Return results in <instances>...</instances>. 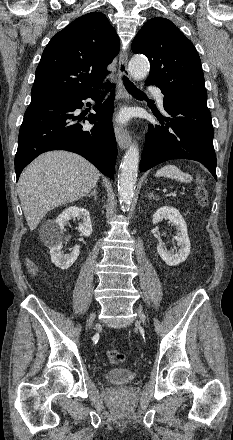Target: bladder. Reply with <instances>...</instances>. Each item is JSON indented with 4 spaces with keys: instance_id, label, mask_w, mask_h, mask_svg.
Wrapping results in <instances>:
<instances>
[{
    "instance_id": "bladder-1",
    "label": "bladder",
    "mask_w": 233,
    "mask_h": 440,
    "mask_svg": "<svg viewBox=\"0 0 233 440\" xmlns=\"http://www.w3.org/2000/svg\"><path fill=\"white\" fill-rule=\"evenodd\" d=\"M104 377L113 385L124 386L134 379L135 372L130 368H113L106 371Z\"/></svg>"
}]
</instances>
